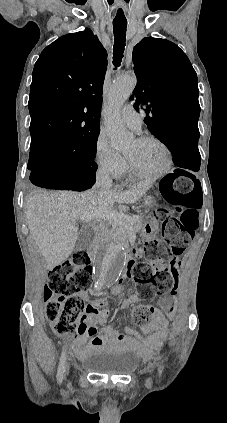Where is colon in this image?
Instances as JSON below:
<instances>
[{"instance_id":"obj_1","label":"colon","mask_w":227,"mask_h":423,"mask_svg":"<svg viewBox=\"0 0 227 423\" xmlns=\"http://www.w3.org/2000/svg\"><path fill=\"white\" fill-rule=\"evenodd\" d=\"M164 201L175 210L162 207L157 211L162 230L173 255H180L190 244L198 228V211L202 192L198 181L187 173L170 174L159 181ZM149 264L130 261L128 268L139 286V297L152 299L171 291L179 278L180 261L170 257L160 241L147 242L143 249ZM92 283V268L86 253L77 252L55 266L49 273L44 301L46 317L53 330L73 339L81 330L80 322L86 305L82 293ZM154 309L141 305L133 313L134 323L145 326L152 320Z\"/></svg>"}]
</instances>
